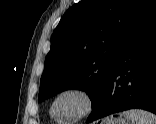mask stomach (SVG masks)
<instances>
[{
	"instance_id": "1",
	"label": "stomach",
	"mask_w": 156,
	"mask_h": 124,
	"mask_svg": "<svg viewBox=\"0 0 156 124\" xmlns=\"http://www.w3.org/2000/svg\"><path fill=\"white\" fill-rule=\"evenodd\" d=\"M102 124H134V121L119 114L118 117L104 121Z\"/></svg>"
}]
</instances>
